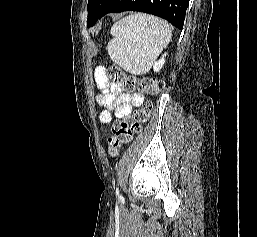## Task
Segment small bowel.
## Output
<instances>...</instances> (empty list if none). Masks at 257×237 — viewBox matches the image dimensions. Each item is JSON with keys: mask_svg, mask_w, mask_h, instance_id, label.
<instances>
[{"mask_svg": "<svg viewBox=\"0 0 257 237\" xmlns=\"http://www.w3.org/2000/svg\"><path fill=\"white\" fill-rule=\"evenodd\" d=\"M95 80L101 90L97 101L106 108L99 116L103 123L108 124L113 120L111 111L117 119L128 117L132 108L141 105L144 100L142 94H129L124 92L120 86L111 84L103 66L97 67Z\"/></svg>", "mask_w": 257, "mask_h": 237, "instance_id": "obj_1", "label": "small bowel"}]
</instances>
